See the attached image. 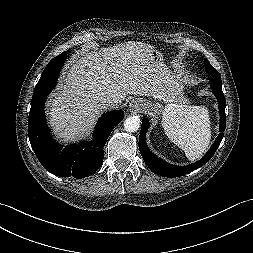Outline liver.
<instances>
[{
  "instance_id": "6515ba94",
  "label": "liver",
  "mask_w": 253,
  "mask_h": 253,
  "mask_svg": "<svg viewBox=\"0 0 253 253\" xmlns=\"http://www.w3.org/2000/svg\"><path fill=\"white\" fill-rule=\"evenodd\" d=\"M154 46L128 41L85 53L67 67L59 91L47 102L49 122L64 140L83 136L102 112L104 98L118 100L128 94L159 98L166 83L165 71L152 63ZM176 105H169L171 111Z\"/></svg>"
}]
</instances>
